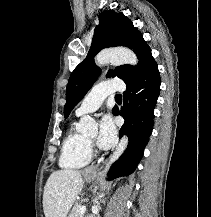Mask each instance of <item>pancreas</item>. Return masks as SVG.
I'll list each match as a JSON object with an SVG mask.
<instances>
[{"label":"pancreas","mask_w":211,"mask_h":217,"mask_svg":"<svg viewBox=\"0 0 211 217\" xmlns=\"http://www.w3.org/2000/svg\"><path fill=\"white\" fill-rule=\"evenodd\" d=\"M80 208H81L80 204L76 203L69 217H83V214H81L80 212Z\"/></svg>","instance_id":"1"}]
</instances>
